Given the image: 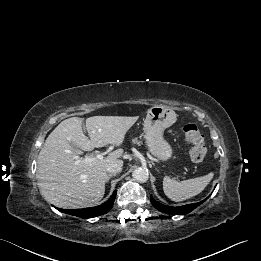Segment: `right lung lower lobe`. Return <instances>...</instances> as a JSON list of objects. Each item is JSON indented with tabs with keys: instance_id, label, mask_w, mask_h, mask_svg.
Returning a JSON list of instances; mask_svg holds the SVG:
<instances>
[{
	"instance_id": "obj_1",
	"label": "right lung lower lobe",
	"mask_w": 261,
	"mask_h": 261,
	"mask_svg": "<svg viewBox=\"0 0 261 261\" xmlns=\"http://www.w3.org/2000/svg\"><path fill=\"white\" fill-rule=\"evenodd\" d=\"M115 197H116V191H114L113 195L110 197V199L108 201H106L102 205H99L96 207L84 208V209H73V210H63V209H58V210H60L61 212L70 214V215L81 217V218L97 217V216L107 213L112 208Z\"/></svg>"
}]
</instances>
